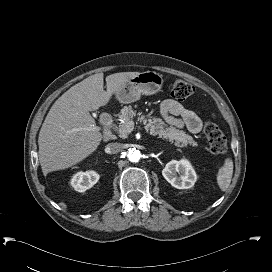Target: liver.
Masks as SVG:
<instances>
[{
	"instance_id": "1",
	"label": "liver",
	"mask_w": 272,
	"mask_h": 272,
	"mask_svg": "<svg viewBox=\"0 0 272 272\" xmlns=\"http://www.w3.org/2000/svg\"><path fill=\"white\" fill-rule=\"evenodd\" d=\"M139 72H121L106 77L97 73L72 86L52 105L39 132V162L46 175L75 165L99 146L102 134L91 111L107 105L112 95Z\"/></svg>"
}]
</instances>
